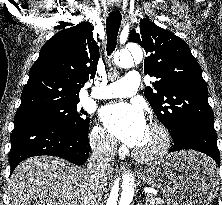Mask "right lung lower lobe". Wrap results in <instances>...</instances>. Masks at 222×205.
<instances>
[{"mask_svg":"<svg viewBox=\"0 0 222 205\" xmlns=\"http://www.w3.org/2000/svg\"><path fill=\"white\" fill-rule=\"evenodd\" d=\"M10 140V174L21 161L32 156L53 155L82 165L91 151L87 134L37 118L14 120Z\"/></svg>","mask_w":222,"mask_h":205,"instance_id":"98d812e1","label":"right lung lower lobe"}]
</instances>
